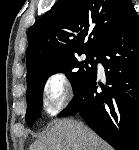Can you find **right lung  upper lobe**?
I'll use <instances>...</instances> for the list:
<instances>
[{
    "instance_id": "obj_1",
    "label": "right lung upper lobe",
    "mask_w": 139,
    "mask_h": 150,
    "mask_svg": "<svg viewBox=\"0 0 139 150\" xmlns=\"http://www.w3.org/2000/svg\"><path fill=\"white\" fill-rule=\"evenodd\" d=\"M132 10L131 0H58L29 30L27 77L52 60L97 52Z\"/></svg>"
}]
</instances>
